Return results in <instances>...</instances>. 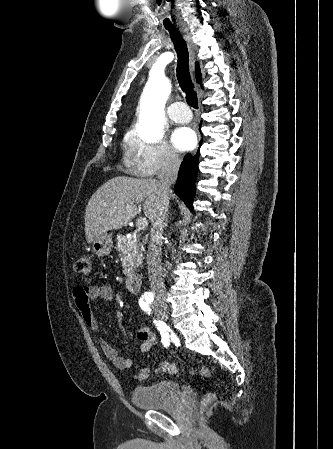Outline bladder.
Instances as JSON below:
<instances>
[{
	"instance_id": "1",
	"label": "bladder",
	"mask_w": 333,
	"mask_h": 449,
	"mask_svg": "<svg viewBox=\"0 0 333 449\" xmlns=\"http://www.w3.org/2000/svg\"><path fill=\"white\" fill-rule=\"evenodd\" d=\"M181 395L180 385L175 381H160L140 385L132 391V403L143 410H158L173 406Z\"/></svg>"
}]
</instances>
